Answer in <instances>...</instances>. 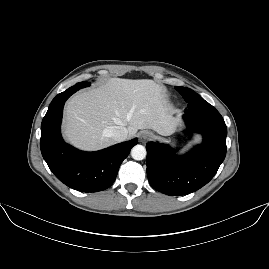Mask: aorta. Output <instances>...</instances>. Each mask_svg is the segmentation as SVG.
Listing matches in <instances>:
<instances>
[{"instance_id": "obj_1", "label": "aorta", "mask_w": 269, "mask_h": 269, "mask_svg": "<svg viewBox=\"0 0 269 269\" xmlns=\"http://www.w3.org/2000/svg\"><path fill=\"white\" fill-rule=\"evenodd\" d=\"M131 156L135 160H143L146 157V149L142 145H136L131 150Z\"/></svg>"}]
</instances>
